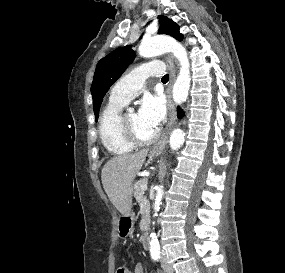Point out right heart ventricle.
Returning a JSON list of instances; mask_svg holds the SVG:
<instances>
[{"label": "right heart ventricle", "instance_id": "right-heart-ventricle-1", "mask_svg": "<svg viewBox=\"0 0 285 273\" xmlns=\"http://www.w3.org/2000/svg\"><path fill=\"white\" fill-rule=\"evenodd\" d=\"M125 103L110 101L99 118V138L104 148L113 155H125L134 149L123 136L120 127V111Z\"/></svg>", "mask_w": 285, "mask_h": 273}]
</instances>
